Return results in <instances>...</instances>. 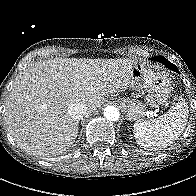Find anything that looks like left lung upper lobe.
<instances>
[{
    "label": "left lung upper lobe",
    "mask_w": 196,
    "mask_h": 196,
    "mask_svg": "<svg viewBox=\"0 0 196 196\" xmlns=\"http://www.w3.org/2000/svg\"><path fill=\"white\" fill-rule=\"evenodd\" d=\"M152 60H155V61H159L161 62L162 64H164L166 67L170 68L171 70L173 71H176L178 70L177 67L172 64L171 62H169L165 57L163 56H155L152 58Z\"/></svg>",
    "instance_id": "left-lung-upper-lobe-1"
}]
</instances>
